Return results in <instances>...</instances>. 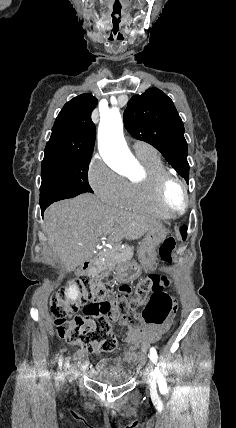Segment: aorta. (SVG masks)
<instances>
[{
    "instance_id": "aorta-1",
    "label": "aorta",
    "mask_w": 236,
    "mask_h": 428,
    "mask_svg": "<svg viewBox=\"0 0 236 428\" xmlns=\"http://www.w3.org/2000/svg\"><path fill=\"white\" fill-rule=\"evenodd\" d=\"M98 148L103 159L120 171L127 172L136 166V160L124 139L123 122L118 108H113L101 116Z\"/></svg>"
}]
</instances>
